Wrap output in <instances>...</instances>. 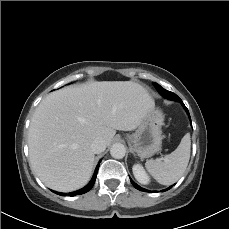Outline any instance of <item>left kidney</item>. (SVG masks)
<instances>
[{
	"label": "left kidney",
	"mask_w": 229,
	"mask_h": 229,
	"mask_svg": "<svg viewBox=\"0 0 229 229\" xmlns=\"http://www.w3.org/2000/svg\"><path fill=\"white\" fill-rule=\"evenodd\" d=\"M133 175L141 184H148L150 179L143 167L140 164H135L132 168Z\"/></svg>",
	"instance_id": "1"
}]
</instances>
